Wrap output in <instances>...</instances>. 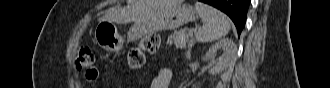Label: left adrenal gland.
Instances as JSON below:
<instances>
[{
  "mask_svg": "<svg viewBox=\"0 0 330 88\" xmlns=\"http://www.w3.org/2000/svg\"><path fill=\"white\" fill-rule=\"evenodd\" d=\"M192 46H193V44L190 45V47H189V49H188V54L190 53Z\"/></svg>",
  "mask_w": 330,
  "mask_h": 88,
  "instance_id": "a2214340",
  "label": "left adrenal gland"
}]
</instances>
